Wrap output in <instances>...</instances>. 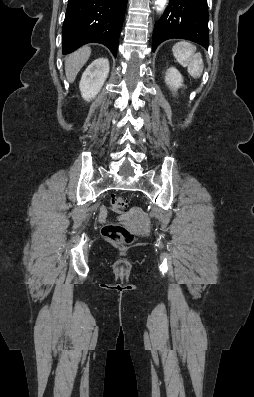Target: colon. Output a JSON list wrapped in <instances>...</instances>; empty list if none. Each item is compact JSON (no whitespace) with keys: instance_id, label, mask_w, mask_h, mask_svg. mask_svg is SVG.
I'll return each mask as SVG.
<instances>
[{"instance_id":"obj_1","label":"colon","mask_w":254,"mask_h":397,"mask_svg":"<svg viewBox=\"0 0 254 397\" xmlns=\"http://www.w3.org/2000/svg\"><path fill=\"white\" fill-rule=\"evenodd\" d=\"M128 205V199L122 196H113L110 207L114 212H124ZM103 236L112 244L117 246H128L134 241V235L121 224H108L102 229Z\"/></svg>"}]
</instances>
